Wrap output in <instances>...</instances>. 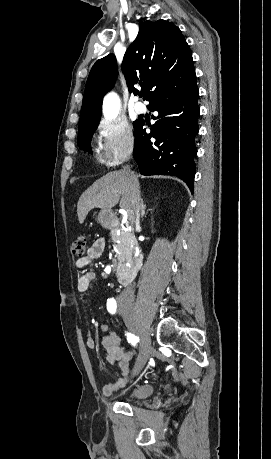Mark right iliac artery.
<instances>
[{"instance_id": "1", "label": "right iliac artery", "mask_w": 271, "mask_h": 459, "mask_svg": "<svg viewBox=\"0 0 271 459\" xmlns=\"http://www.w3.org/2000/svg\"><path fill=\"white\" fill-rule=\"evenodd\" d=\"M116 308H117L116 301L114 299H108L107 300V310L110 313L114 314L116 312ZM125 335L127 336L128 342L131 343L133 346H135L136 343L139 341V338L136 337L134 334L126 333Z\"/></svg>"}]
</instances>
